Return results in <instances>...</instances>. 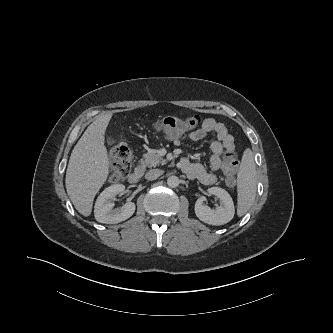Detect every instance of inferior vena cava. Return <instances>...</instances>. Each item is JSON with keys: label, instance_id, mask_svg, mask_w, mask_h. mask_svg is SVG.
<instances>
[{"label": "inferior vena cava", "instance_id": "obj_1", "mask_svg": "<svg viewBox=\"0 0 333 333\" xmlns=\"http://www.w3.org/2000/svg\"><path fill=\"white\" fill-rule=\"evenodd\" d=\"M163 174V171L160 170V169H152V170H149L146 175H145V178L147 180H155L157 179L159 176H161Z\"/></svg>", "mask_w": 333, "mask_h": 333}]
</instances>
